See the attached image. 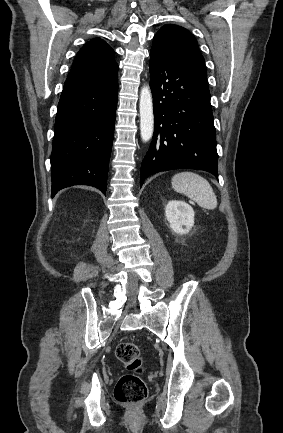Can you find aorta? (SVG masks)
Instances as JSON below:
<instances>
[{"label": "aorta", "mask_w": 283, "mask_h": 433, "mask_svg": "<svg viewBox=\"0 0 283 433\" xmlns=\"http://www.w3.org/2000/svg\"><path fill=\"white\" fill-rule=\"evenodd\" d=\"M140 135L143 142L149 141L154 132L153 98L150 87L143 86L139 100Z\"/></svg>", "instance_id": "762f6f07"}]
</instances>
